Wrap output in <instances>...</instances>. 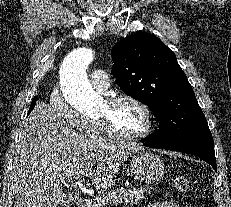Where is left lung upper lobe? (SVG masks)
Returning a JSON list of instances; mask_svg holds the SVG:
<instances>
[{"label":"left lung upper lobe","mask_w":231,"mask_h":207,"mask_svg":"<svg viewBox=\"0 0 231 207\" xmlns=\"http://www.w3.org/2000/svg\"><path fill=\"white\" fill-rule=\"evenodd\" d=\"M112 73L120 88L146 104L160 120L145 140L161 147L213 142L207 120L172 52L157 37L136 33L111 50Z\"/></svg>","instance_id":"1"}]
</instances>
